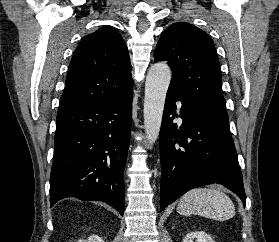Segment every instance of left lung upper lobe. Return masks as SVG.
I'll list each match as a JSON object with an SVG mask.
<instances>
[{"instance_id": "5c2ea615", "label": "left lung upper lobe", "mask_w": 279, "mask_h": 242, "mask_svg": "<svg viewBox=\"0 0 279 242\" xmlns=\"http://www.w3.org/2000/svg\"><path fill=\"white\" fill-rule=\"evenodd\" d=\"M154 59L168 61L172 70L169 87L186 104L229 127L221 67L213 40L207 33L185 22L171 24L157 43Z\"/></svg>"}]
</instances>
